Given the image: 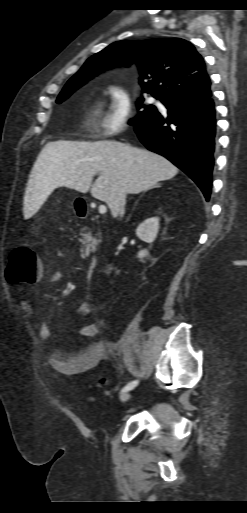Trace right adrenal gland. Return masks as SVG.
<instances>
[{"instance_id":"right-adrenal-gland-1","label":"right adrenal gland","mask_w":247,"mask_h":513,"mask_svg":"<svg viewBox=\"0 0 247 513\" xmlns=\"http://www.w3.org/2000/svg\"><path fill=\"white\" fill-rule=\"evenodd\" d=\"M145 193V192H144ZM143 195V194H142ZM142 195L140 196V198L142 197ZM138 203V201L136 202V204Z\"/></svg>"}]
</instances>
